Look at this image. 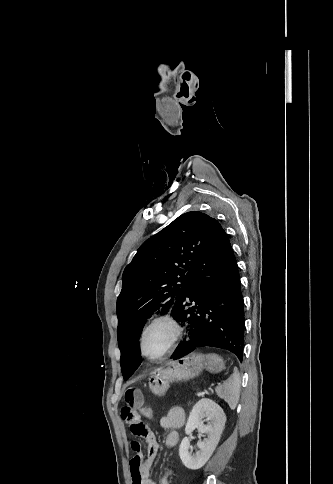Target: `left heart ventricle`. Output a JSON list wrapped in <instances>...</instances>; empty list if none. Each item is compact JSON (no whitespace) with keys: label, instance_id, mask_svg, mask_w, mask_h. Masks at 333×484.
Wrapping results in <instances>:
<instances>
[{"label":"left heart ventricle","instance_id":"left-heart-ventricle-1","mask_svg":"<svg viewBox=\"0 0 333 484\" xmlns=\"http://www.w3.org/2000/svg\"><path fill=\"white\" fill-rule=\"evenodd\" d=\"M172 334L171 328L164 323L153 326L145 338V350L148 354L157 355L166 345Z\"/></svg>","mask_w":333,"mask_h":484}]
</instances>
